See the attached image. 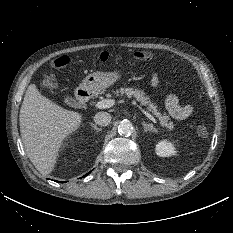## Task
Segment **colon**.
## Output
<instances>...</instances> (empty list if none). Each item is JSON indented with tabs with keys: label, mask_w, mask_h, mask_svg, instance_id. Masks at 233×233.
<instances>
[{
	"label": "colon",
	"mask_w": 233,
	"mask_h": 233,
	"mask_svg": "<svg viewBox=\"0 0 233 233\" xmlns=\"http://www.w3.org/2000/svg\"><path fill=\"white\" fill-rule=\"evenodd\" d=\"M93 56L95 59L101 62H109L111 60L118 59V56H112L108 52L95 53ZM134 58L140 61H147L152 58V53L148 51H138L134 54ZM69 62H70V58L66 55H62L52 61V66L54 68H63L67 66ZM43 83H44V87L49 91L54 90L57 86L56 81L52 75H46ZM197 134L200 138H203V139L207 138L209 135L207 127L203 124H200L197 127Z\"/></svg>",
	"instance_id": "colon-1"
}]
</instances>
